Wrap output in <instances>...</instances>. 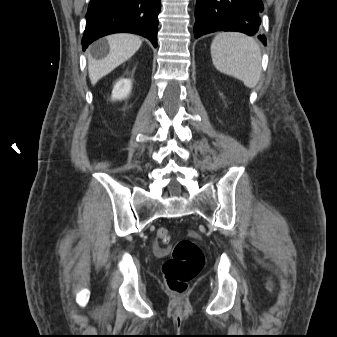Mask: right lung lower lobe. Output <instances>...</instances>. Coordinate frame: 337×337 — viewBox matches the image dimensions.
<instances>
[{"mask_svg":"<svg viewBox=\"0 0 337 337\" xmlns=\"http://www.w3.org/2000/svg\"><path fill=\"white\" fill-rule=\"evenodd\" d=\"M160 7L161 0H91L86 14L83 50L94 40L119 32L139 34L157 47Z\"/></svg>","mask_w":337,"mask_h":337,"instance_id":"right-lung-lower-lobe-1","label":"right lung lower lobe"}]
</instances>
